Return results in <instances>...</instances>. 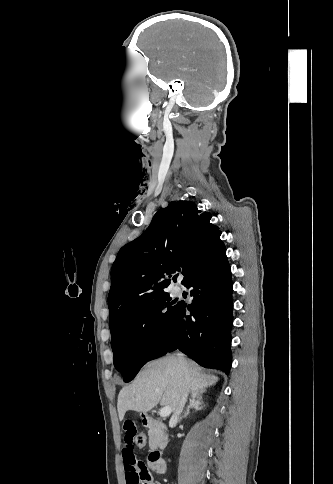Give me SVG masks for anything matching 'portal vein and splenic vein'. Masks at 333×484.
Here are the masks:
<instances>
[{
    "mask_svg": "<svg viewBox=\"0 0 333 484\" xmlns=\"http://www.w3.org/2000/svg\"><path fill=\"white\" fill-rule=\"evenodd\" d=\"M171 412H172V408L170 406H166L159 411V415L160 417H167L171 414Z\"/></svg>",
    "mask_w": 333,
    "mask_h": 484,
    "instance_id": "obj_1",
    "label": "portal vein and splenic vein"
}]
</instances>
